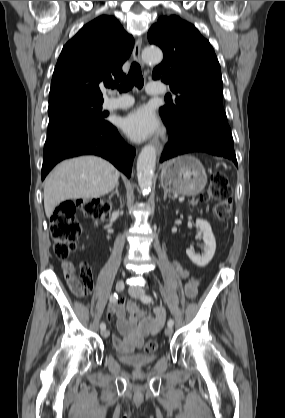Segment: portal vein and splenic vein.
<instances>
[{
    "label": "portal vein and splenic vein",
    "mask_w": 285,
    "mask_h": 418,
    "mask_svg": "<svg viewBox=\"0 0 285 418\" xmlns=\"http://www.w3.org/2000/svg\"><path fill=\"white\" fill-rule=\"evenodd\" d=\"M185 200V198L184 197H180L179 198V202H183Z\"/></svg>",
    "instance_id": "1"
}]
</instances>
